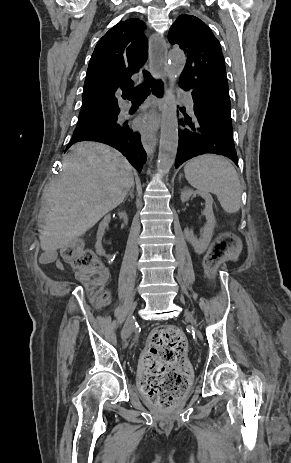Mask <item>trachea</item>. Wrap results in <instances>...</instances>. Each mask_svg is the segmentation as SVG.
I'll return each mask as SVG.
<instances>
[{
  "mask_svg": "<svg viewBox=\"0 0 291 463\" xmlns=\"http://www.w3.org/2000/svg\"><path fill=\"white\" fill-rule=\"evenodd\" d=\"M143 75L145 81L133 91L123 92L124 99L131 100L132 102H142L149 95L150 88L156 96H163V84L159 80L154 79L146 70L143 71Z\"/></svg>",
  "mask_w": 291,
  "mask_h": 463,
  "instance_id": "obj_1",
  "label": "trachea"
}]
</instances>
